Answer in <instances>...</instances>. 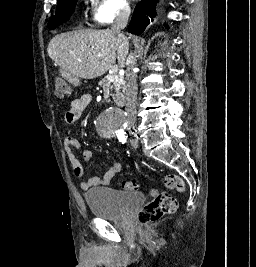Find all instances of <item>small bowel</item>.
Segmentation results:
<instances>
[{"label": "small bowel", "instance_id": "c3829d8e", "mask_svg": "<svg viewBox=\"0 0 256 267\" xmlns=\"http://www.w3.org/2000/svg\"><path fill=\"white\" fill-rule=\"evenodd\" d=\"M92 97L88 93L82 94L80 97L71 101L70 109L66 112L64 116V121L67 124L73 123L79 119L84 110L91 103ZM65 149L68 154V158L73 170V173L76 177L82 178L85 174V169L75 155V150H80L85 161H89L92 157L91 152L88 149L83 148L81 142L73 137L68 136L65 139ZM121 163L119 161H114L111 163L103 176H97L89 179H83L80 183V187L83 190H88L94 186H107L110 185L113 181L115 175L120 171Z\"/></svg>", "mask_w": 256, "mask_h": 267}]
</instances>
